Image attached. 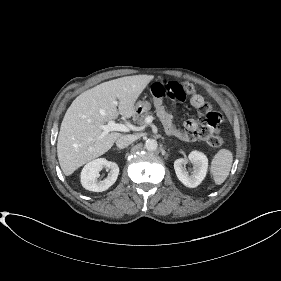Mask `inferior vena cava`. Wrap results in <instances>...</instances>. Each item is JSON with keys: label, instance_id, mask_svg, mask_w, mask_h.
<instances>
[{"label": "inferior vena cava", "instance_id": "1", "mask_svg": "<svg viewBox=\"0 0 281 281\" xmlns=\"http://www.w3.org/2000/svg\"><path fill=\"white\" fill-rule=\"evenodd\" d=\"M133 141H134V137L132 135H121L116 140V146L119 149H123V148L129 146Z\"/></svg>", "mask_w": 281, "mask_h": 281}]
</instances>
